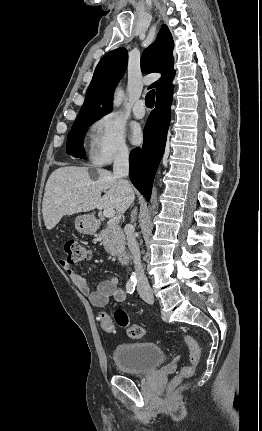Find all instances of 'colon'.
I'll use <instances>...</instances> for the list:
<instances>
[{
  "label": "colon",
  "instance_id": "colon-1",
  "mask_svg": "<svg viewBox=\"0 0 262 431\" xmlns=\"http://www.w3.org/2000/svg\"><path fill=\"white\" fill-rule=\"evenodd\" d=\"M65 259L64 264H77L85 261L89 257V249L86 245L75 240H68L64 243ZM100 325L105 332H113L115 325L126 329L127 335L133 339H142L145 335L143 328L139 325L132 324L128 314L124 309H117L114 318L108 314L100 315ZM182 339L190 349L189 362L184 365L179 374V379H187L193 376L197 365L201 359V351L197 341L189 334H183Z\"/></svg>",
  "mask_w": 262,
  "mask_h": 431
}]
</instances>
